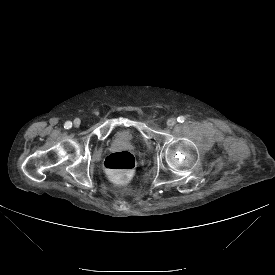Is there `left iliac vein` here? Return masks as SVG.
<instances>
[{"label": "left iliac vein", "instance_id": "left-iliac-vein-1", "mask_svg": "<svg viewBox=\"0 0 275 275\" xmlns=\"http://www.w3.org/2000/svg\"><path fill=\"white\" fill-rule=\"evenodd\" d=\"M175 123H176V119L175 118H169L168 120H167V125L168 126H174L175 125Z\"/></svg>", "mask_w": 275, "mask_h": 275}]
</instances>
